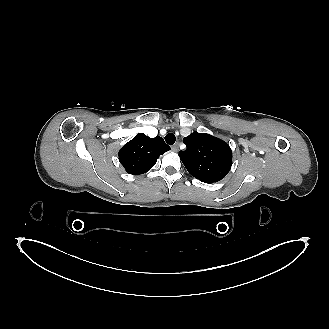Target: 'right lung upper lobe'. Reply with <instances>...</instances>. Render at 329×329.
<instances>
[{
    "label": "right lung upper lobe",
    "mask_w": 329,
    "mask_h": 329,
    "mask_svg": "<svg viewBox=\"0 0 329 329\" xmlns=\"http://www.w3.org/2000/svg\"><path fill=\"white\" fill-rule=\"evenodd\" d=\"M168 150L170 147L161 137L150 138L139 133L120 149L119 161L128 173L143 174Z\"/></svg>",
    "instance_id": "1"
}]
</instances>
